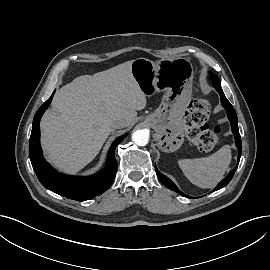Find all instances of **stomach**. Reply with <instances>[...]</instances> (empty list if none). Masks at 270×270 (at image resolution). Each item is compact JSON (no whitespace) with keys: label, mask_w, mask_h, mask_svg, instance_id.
<instances>
[{"label":"stomach","mask_w":270,"mask_h":270,"mask_svg":"<svg viewBox=\"0 0 270 270\" xmlns=\"http://www.w3.org/2000/svg\"><path fill=\"white\" fill-rule=\"evenodd\" d=\"M131 73L145 95L163 91L159 107L145 119L156 132L158 147L164 152L178 150L184 141L183 117L191 101L193 66L182 57L157 62L137 58Z\"/></svg>","instance_id":"1"}]
</instances>
